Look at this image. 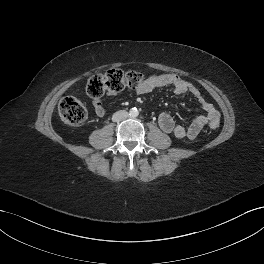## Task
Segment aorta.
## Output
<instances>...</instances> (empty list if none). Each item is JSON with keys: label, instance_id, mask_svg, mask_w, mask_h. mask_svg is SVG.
Masks as SVG:
<instances>
[{"label": "aorta", "instance_id": "762f6f07", "mask_svg": "<svg viewBox=\"0 0 264 264\" xmlns=\"http://www.w3.org/2000/svg\"><path fill=\"white\" fill-rule=\"evenodd\" d=\"M129 115L133 118L137 117L139 115V111L137 108H132L129 112Z\"/></svg>", "mask_w": 264, "mask_h": 264}]
</instances>
